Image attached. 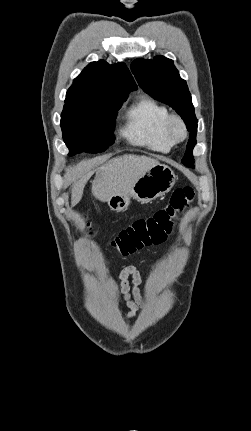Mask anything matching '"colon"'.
Returning <instances> with one entry per match:
<instances>
[{
	"label": "colon",
	"mask_w": 251,
	"mask_h": 431,
	"mask_svg": "<svg viewBox=\"0 0 251 431\" xmlns=\"http://www.w3.org/2000/svg\"><path fill=\"white\" fill-rule=\"evenodd\" d=\"M193 198L194 190L189 186L174 190L165 207L121 230L112 240V247L126 257L144 247L161 244L171 234L176 218L189 206Z\"/></svg>",
	"instance_id": "5ec220e1"
}]
</instances>
